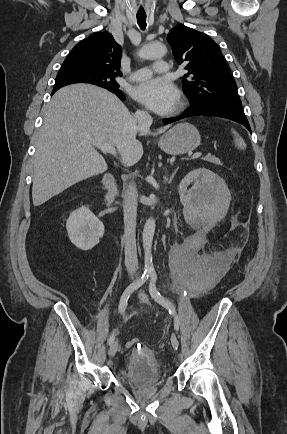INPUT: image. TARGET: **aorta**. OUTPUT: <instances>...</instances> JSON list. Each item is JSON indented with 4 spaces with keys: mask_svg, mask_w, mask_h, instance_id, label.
<instances>
[{
    "mask_svg": "<svg viewBox=\"0 0 287 434\" xmlns=\"http://www.w3.org/2000/svg\"><path fill=\"white\" fill-rule=\"evenodd\" d=\"M167 52L164 44L156 42L144 46L138 53L142 59H155L163 57ZM155 219L150 218L146 221L143 229L142 239L144 248V270L145 273L150 274L154 272V266L152 262V242L155 232Z\"/></svg>",
    "mask_w": 287,
    "mask_h": 434,
    "instance_id": "aorta-1",
    "label": "aorta"
}]
</instances>
